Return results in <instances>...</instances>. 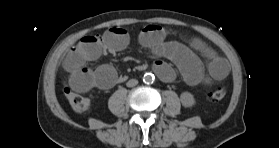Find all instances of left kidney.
Returning <instances> with one entry per match:
<instances>
[{"label":"left kidney","instance_id":"1","mask_svg":"<svg viewBox=\"0 0 279 148\" xmlns=\"http://www.w3.org/2000/svg\"><path fill=\"white\" fill-rule=\"evenodd\" d=\"M180 101L182 105L187 108L194 106L196 103L194 96L189 92H183L180 95Z\"/></svg>","mask_w":279,"mask_h":148}]
</instances>
